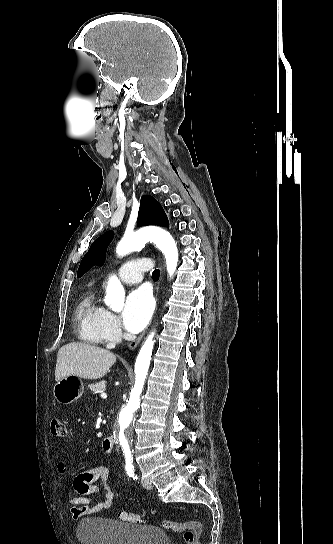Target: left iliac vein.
<instances>
[{"instance_id": "left-iliac-vein-1", "label": "left iliac vein", "mask_w": 333, "mask_h": 544, "mask_svg": "<svg viewBox=\"0 0 333 544\" xmlns=\"http://www.w3.org/2000/svg\"><path fill=\"white\" fill-rule=\"evenodd\" d=\"M141 482H142V485H143L144 488L149 489V490L153 488V485L148 480L142 479Z\"/></svg>"}]
</instances>
